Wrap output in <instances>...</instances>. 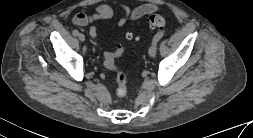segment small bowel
I'll use <instances>...</instances> for the list:
<instances>
[{
  "instance_id": "c3829d8e",
  "label": "small bowel",
  "mask_w": 253,
  "mask_h": 138,
  "mask_svg": "<svg viewBox=\"0 0 253 138\" xmlns=\"http://www.w3.org/2000/svg\"><path fill=\"white\" fill-rule=\"evenodd\" d=\"M122 10V16L117 22L118 27L124 26L128 22L137 21L146 15H150L160 11V7L155 4H142L137 6L134 9H131L127 5H120ZM113 16V9L106 4L98 5L94 8L92 13L87 9H82L73 17V24L78 27H86L90 24H94L99 20L110 19ZM88 33L91 38H96L98 36V27L96 25H92Z\"/></svg>"
}]
</instances>
